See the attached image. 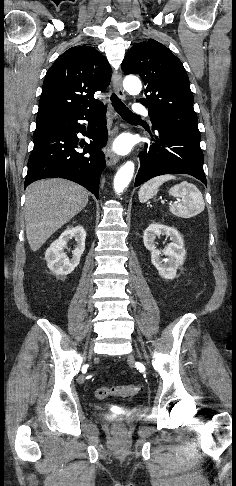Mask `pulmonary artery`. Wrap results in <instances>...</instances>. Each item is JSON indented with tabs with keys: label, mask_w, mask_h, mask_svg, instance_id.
<instances>
[{
	"label": "pulmonary artery",
	"mask_w": 236,
	"mask_h": 486,
	"mask_svg": "<svg viewBox=\"0 0 236 486\" xmlns=\"http://www.w3.org/2000/svg\"><path fill=\"white\" fill-rule=\"evenodd\" d=\"M133 111L136 115H143V116H146L148 115V110L147 108H145L143 105L141 104H135L133 106Z\"/></svg>",
	"instance_id": "e3ab8cb5"
}]
</instances>
